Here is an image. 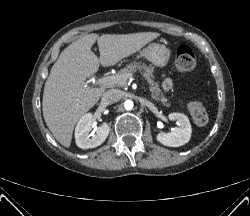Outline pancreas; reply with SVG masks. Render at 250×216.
Returning a JSON list of instances; mask_svg holds the SVG:
<instances>
[{"label":"pancreas","mask_w":250,"mask_h":216,"mask_svg":"<svg viewBox=\"0 0 250 216\" xmlns=\"http://www.w3.org/2000/svg\"><path fill=\"white\" fill-rule=\"evenodd\" d=\"M135 72H140L142 73L143 77L147 80L149 84V89L151 92V96L154 100L160 101L162 104L169 106V99L165 97L161 89L159 87V82L156 81V77L153 75L154 73V68L152 66H147L144 63L140 62H133L128 65H126L125 68L120 70L117 75H123V74H132ZM127 82L121 83V84H116L119 87H124L126 86Z\"/></svg>","instance_id":"1"}]
</instances>
